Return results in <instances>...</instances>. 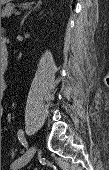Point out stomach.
Listing matches in <instances>:
<instances>
[{
  "label": "stomach",
  "mask_w": 109,
  "mask_h": 170,
  "mask_svg": "<svg viewBox=\"0 0 109 170\" xmlns=\"http://www.w3.org/2000/svg\"><path fill=\"white\" fill-rule=\"evenodd\" d=\"M11 1H13V0H1V6L6 5V4L10 3Z\"/></svg>",
  "instance_id": "stomach-1"
}]
</instances>
